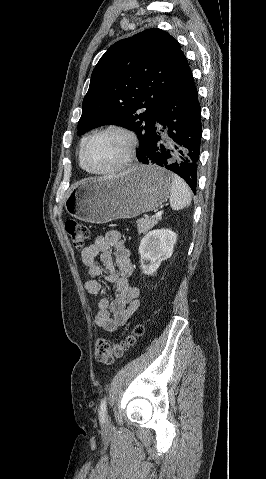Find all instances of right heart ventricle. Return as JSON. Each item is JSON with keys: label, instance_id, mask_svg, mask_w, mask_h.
<instances>
[{"label": "right heart ventricle", "instance_id": "e07e8e85", "mask_svg": "<svg viewBox=\"0 0 266 479\" xmlns=\"http://www.w3.org/2000/svg\"><path fill=\"white\" fill-rule=\"evenodd\" d=\"M87 138H83L82 141H81V144H80V149H79V166L84 170V171H87L88 170L86 169V167L84 166V163L82 161V150H83V147H84V144L86 142Z\"/></svg>", "mask_w": 266, "mask_h": 479}]
</instances>
